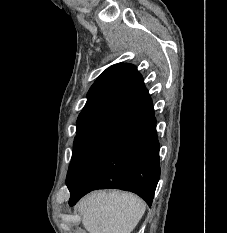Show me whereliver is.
Returning a JSON list of instances; mask_svg holds the SVG:
<instances>
[{
    "mask_svg": "<svg viewBox=\"0 0 227 233\" xmlns=\"http://www.w3.org/2000/svg\"><path fill=\"white\" fill-rule=\"evenodd\" d=\"M138 196L120 191H97L78 203L82 224L89 233H131L145 212Z\"/></svg>",
    "mask_w": 227,
    "mask_h": 233,
    "instance_id": "6515ba94",
    "label": "liver"
}]
</instances>
